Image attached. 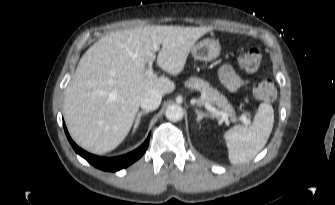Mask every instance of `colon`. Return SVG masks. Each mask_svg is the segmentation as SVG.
Here are the masks:
<instances>
[{"label":"colon","mask_w":335,"mask_h":205,"mask_svg":"<svg viewBox=\"0 0 335 205\" xmlns=\"http://www.w3.org/2000/svg\"><path fill=\"white\" fill-rule=\"evenodd\" d=\"M260 63L261 54L258 49L247 48L240 53L239 64L246 73H256L260 67ZM253 93L259 100L270 101L276 96L275 85L270 80H262L254 86Z\"/></svg>","instance_id":"5ec220e1"}]
</instances>
